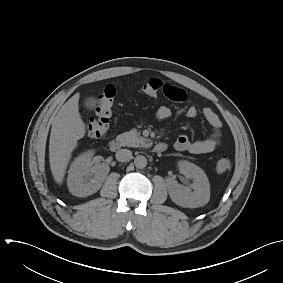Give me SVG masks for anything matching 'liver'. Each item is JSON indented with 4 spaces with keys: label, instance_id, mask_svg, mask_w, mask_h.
<instances>
[{
    "label": "liver",
    "instance_id": "liver-1",
    "mask_svg": "<svg viewBox=\"0 0 283 283\" xmlns=\"http://www.w3.org/2000/svg\"><path fill=\"white\" fill-rule=\"evenodd\" d=\"M79 94L72 96L53 118L50 142L49 162L55 182L62 184L71 153L78 140L86 133L85 124L79 113Z\"/></svg>",
    "mask_w": 283,
    "mask_h": 283
}]
</instances>
